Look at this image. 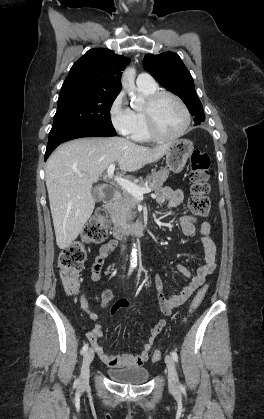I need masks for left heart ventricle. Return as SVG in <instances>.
Instances as JSON below:
<instances>
[{
    "mask_svg": "<svg viewBox=\"0 0 264 419\" xmlns=\"http://www.w3.org/2000/svg\"><path fill=\"white\" fill-rule=\"evenodd\" d=\"M158 127L164 135L177 134L183 127L184 114L179 104L171 97L160 99L156 107Z\"/></svg>",
    "mask_w": 264,
    "mask_h": 419,
    "instance_id": "b2bd125f",
    "label": "left heart ventricle"
}]
</instances>
